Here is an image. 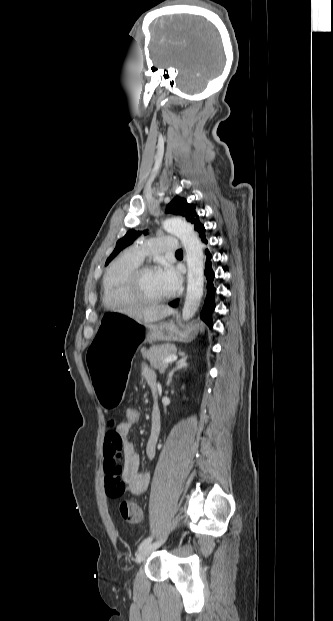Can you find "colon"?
Listing matches in <instances>:
<instances>
[{
  "label": "colon",
  "mask_w": 333,
  "mask_h": 621,
  "mask_svg": "<svg viewBox=\"0 0 333 621\" xmlns=\"http://www.w3.org/2000/svg\"><path fill=\"white\" fill-rule=\"evenodd\" d=\"M140 420V412L135 406L125 408V421L131 425H135ZM120 514L122 518L131 524H137L142 520V511L140 507L132 501H123L120 504Z\"/></svg>",
  "instance_id": "obj_1"
}]
</instances>
